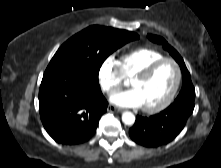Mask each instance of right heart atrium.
I'll list each match as a JSON object with an SVG mask.
<instances>
[{
  "label": "right heart atrium",
  "instance_id": "d8ad5b80",
  "mask_svg": "<svg viewBox=\"0 0 221 168\" xmlns=\"http://www.w3.org/2000/svg\"><path fill=\"white\" fill-rule=\"evenodd\" d=\"M124 80L119 61L114 56H107L99 66L98 82L102 91L108 95L120 90Z\"/></svg>",
  "mask_w": 221,
  "mask_h": 168
}]
</instances>
